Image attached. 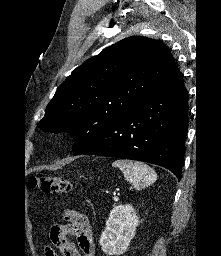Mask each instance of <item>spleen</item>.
<instances>
[{
  "mask_svg": "<svg viewBox=\"0 0 221 256\" xmlns=\"http://www.w3.org/2000/svg\"><path fill=\"white\" fill-rule=\"evenodd\" d=\"M112 166L119 168L123 172L125 179L137 190L144 189L157 179L155 171L144 163L116 160L112 163Z\"/></svg>",
  "mask_w": 221,
  "mask_h": 256,
  "instance_id": "obj_1",
  "label": "spleen"
}]
</instances>
